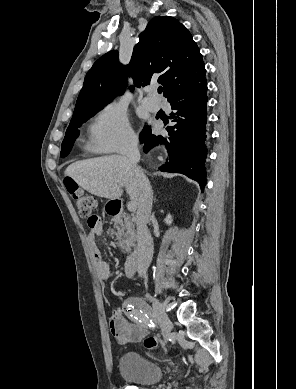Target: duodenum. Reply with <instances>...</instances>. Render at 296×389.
Returning a JSON list of instances; mask_svg holds the SVG:
<instances>
[{"instance_id": "410a0bca", "label": "duodenum", "mask_w": 296, "mask_h": 389, "mask_svg": "<svg viewBox=\"0 0 296 389\" xmlns=\"http://www.w3.org/2000/svg\"><path fill=\"white\" fill-rule=\"evenodd\" d=\"M108 212L112 216H119L122 212V204L118 200L111 201L108 207ZM153 251L152 241L147 238L140 240L135 244V247L127 258L124 269L127 276L135 273L137 267L144 263L151 256Z\"/></svg>"}]
</instances>
